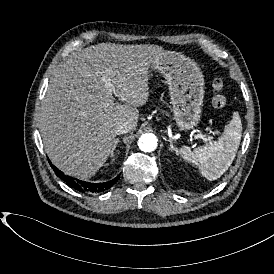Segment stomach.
<instances>
[{
  "instance_id": "obj_1",
  "label": "stomach",
  "mask_w": 274,
  "mask_h": 274,
  "mask_svg": "<svg viewBox=\"0 0 274 274\" xmlns=\"http://www.w3.org/2000/svg\"><path fill=\"white\" fill-rule=\"evenodd\" d=\"M155 66L168 84L176 126L184 131L193 130L201 121L205 95L201 69L194 60L170 51L157 58Z\"/></svg>"
}]
</instances>
